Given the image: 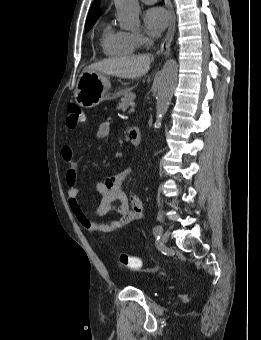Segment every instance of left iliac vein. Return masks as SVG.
Instances as JSON below:
<instances>
[{
    "label": "left iliac vein",
    "mask_w": 261,
    "mask_h": 340,
    "mask_svg": "<svg viewBox=\"0 0 261 340\" xmlns=\"http://www.w3.org/2000/svg\"><path fill=\"white\" fill-rule=\"evenodd\" d=\"M170 236V231L166 230L165 232H163L162 236H161V244H166L168 238Z\"/></svg>",
    "instance_id": "obj_1"
}]
</instances>
